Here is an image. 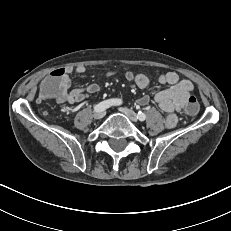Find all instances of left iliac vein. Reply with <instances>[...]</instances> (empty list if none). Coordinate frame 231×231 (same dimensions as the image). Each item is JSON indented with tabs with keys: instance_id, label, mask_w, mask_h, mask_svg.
Listing matches in <instances>:
<instances>
[{
	"instance_id": "1",
	"label": "left iliac vein",
	"mask_w": 231,
	"mask_h": 231,
	"mask_svg": "<svg viewBox=\"0 0 231 231\" xmlns=\"http://www.w3.org/2000/svg\"><path fill=\"white\" fill-rule=\"evenodd\" d=\"M119 111L122 112L124 115H126L131 121L133 122L138 121L137 114L133 110L128 109L126 107H121L119 108Z\"/></svg>"
}]
</instances>
